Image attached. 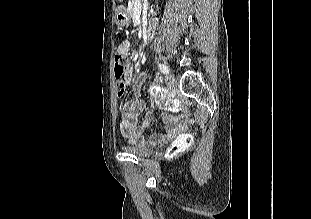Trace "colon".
Returning <instances> with one entry per match:
<instances>
[{"mask_svg":"<svg viewBox=\"0 0 311 219\" xmlns=\"http://www.w3.org/2000/svg\"><path fill=\"white\" fill-rule=\"evenodd\" d=\"M128 67V59L123 55H118L115 57L114 61V74L117 80V94L118 97H123L126 92V80L125 75ZM161 106L171 110L178 109V103L176 101H170L167 99L159 100ZM193 134L187 133L182 137H179L171 145L170 151L172 154H177L181 152L184 148L193 142Z\"/></svg>","mask_w":311,"mask_h":219,"instance_id":"1","label":"colon"}]
</instances>
